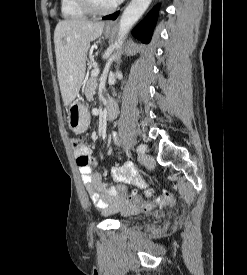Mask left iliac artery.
Wrapping results in <instances>:
<instances>
[{
    "instance_id": "1",
    "label": "left iliac artery",
    "mask_w": 247,
    "mask_h": 275,
    "mask_svg": "<svg viewBox=\"0 0 247 275\" xmlns=\"http://www.w3.org/2000/svg\"><path fill=\"white\" fill-rule=\"evenodd\" d=\"M146 150V146L145 145H140L138 146L137 148V152L140 153V152H145Z\"/></svg>"
}]
</instances>
